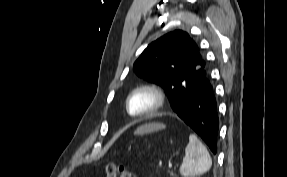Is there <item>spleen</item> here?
<instances>
[{"label":"spleen","instance_id":"1","mask_svg":"<svg viewBox=\"0 0 287 177\" xmlns=\"http://www.w3.org/2000/svg\"><path fill=\"white\" fill-rule=\"evenodd\" d=\"M212 165L210 154L197 136L191 134L185 148V156L180 167L184 177H194L207 172Z\"/></svg>","mask_w":287,"mask_h":177}]
</instances>
